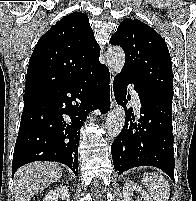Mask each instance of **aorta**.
Wrapping results in <instances>:
<instances>
[{
	"label": "aorta",
	"mask_w": 196,
	"mask_h": 201,
	"mask_svg": "<svg viewBox=\"0 0 196 201\" xmlns=\"http://www.w3.org/2000/svg\"><path fill=\"white\" fill-rule=\"evenodd\" d=\"M106 61L109 69L118 74L124 67L125 53L119 46L108 48L106 53ZM125 110L122 106L117 105L113 108L106 120L107 134L110 137H116L122 131L125 124Z\"/></svg>",
	"instance_id": "aorta-1"
}]
</instances>
